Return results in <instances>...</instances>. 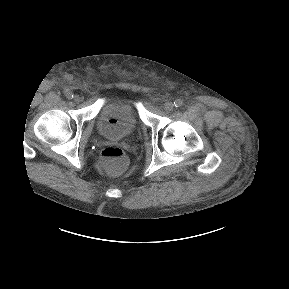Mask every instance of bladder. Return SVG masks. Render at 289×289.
Wrapping results in <instances>:
<instances>
[{
  "instance_id": "bladder-1",
  "label": "bladder",
  "mask_w": 289,
  "mask_h": 289,
  "mask_svg": "<svg viewBox=\"0 0 289 289\" xmlns=\"http://www.w3.org/2000/svg\"><path fill=\"white\" fill-rule=\"evenodd\" d=\"M96 127L99 134L109 140H124L132 137L139 127L133 102L123 97L106 101L97 114Z\"/></svg>"
}]
</instances>
